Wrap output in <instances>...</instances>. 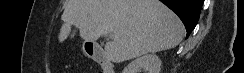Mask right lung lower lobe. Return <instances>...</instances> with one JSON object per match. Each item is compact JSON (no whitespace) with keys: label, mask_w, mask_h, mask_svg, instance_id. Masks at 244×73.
Segmentation results:
<instances>
[{"label":"right lung lower lobe","mask_w":244,"mask_h":73,"mask_svg":"<svg viewBox=\"0 0 244 73\" xmlns=\"http://www.w3.org/2000/svg\"><path fill=\"white\" fill-rule=\"evenodd\" d=\"M173 10L182 20L187 37L195 28L202 8L203 0H160Z\"/></svg>","instance_id":"right-lung-lower-lobe-1"}]
</instances>
